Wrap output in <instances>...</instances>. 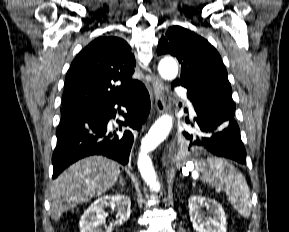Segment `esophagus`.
<instances>
[{"label": "esophagus", "mask_w": 289, "mask_h": 232, "mask_svg": "<svg viewBox=\"0 0 289 232\" xmlns=\"http://www.w3.org/2000/svg\"><path fill=\"white\" fill-rule=\"evenodd\" d=\"M152 92L154 96V111L163 114L167 111L164 98V84L163 81L155 75L152 77Z\"/></svg>", "instance_id": "esophagus-1"}]
</instances>
